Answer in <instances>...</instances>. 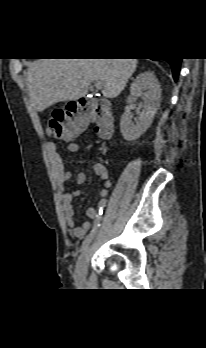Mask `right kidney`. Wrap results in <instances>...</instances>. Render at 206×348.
<instances>
[{
    "mask_svg": "<svg viewBox=\"0 0 206 348\" xmlns=\"http://www.w3.org/2000/svg\"><path fill=\"white\" fill-rule=\"evenodd\" d=\"M143 96L144 105L139 116L132 122L131 109L138 97ZM161 88L158 79L151 71L140 73L130 87V95L127 98L129 106L120 120V131L127 141L138 139L151 126L154 115L160 107Z\"/></svg>",
    "mask_w": 206,
    "mask_h": 348,
    "instance_id": "1",
    "label": "right kidney"
}]
</instances>
